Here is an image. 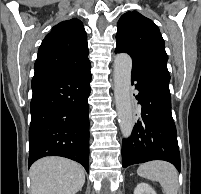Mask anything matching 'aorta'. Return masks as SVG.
I'll list each match as a JSON object with an SVG mask.
<instances>
[{
  "label": "aorta",
  "mask_w": 201,
  "mask_h": 194,
  "mask_svg": "<svg viewBox=\"0 0 201 194\" xmlns=\"http://www.w3.org/2000/svg\"><path fill=\"white\" fill-rule=\"evenodd\" d=\"M132 59L126 53L116 55L114 59V95L118 122L123 137H130L133 126V107L131 100Z\"/></svg>",
  "instance_id": "obj_1"
}]
</instances>
